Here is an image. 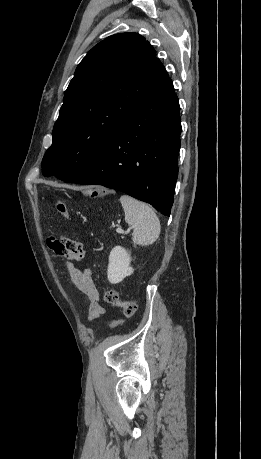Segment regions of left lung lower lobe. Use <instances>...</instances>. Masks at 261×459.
<instances>
[{
  "instance_id": "obj_1",
  "label": "left lung lower lobe",
  "mask_w": 261,
  "mask_h": 459,
  "mask_svg": "<svg viewBox=\"0 0 261 459\" xmlns=\"http://www.w3.org/2000/svg\"><path fill=\"white\" fill-rule=\"evenodd\" d=\"M179 111L178 98L167 77L99 156L65 182L116 189L170 216L178 176Z\"/></svg>"
}]
</instances>
